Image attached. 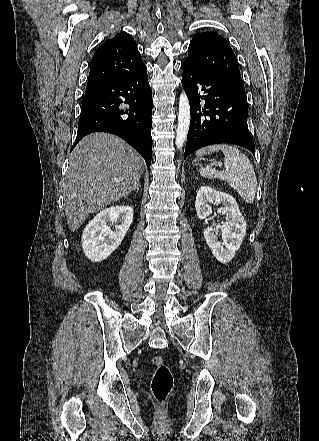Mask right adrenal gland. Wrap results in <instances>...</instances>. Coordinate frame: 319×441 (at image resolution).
<instances>
[{
    "instance_id": "right-adrenal-gland-1",
    "label": "right adrenal gland",
    "mask_w": 319,
    "mask_h": 441,
    "mask_svg": "<svg viewBox=\"0 0 319 441\" xmlns=\"http://www.w3.org/2000/svg\"><path fill=\"white\" fill-rule=\"evenodd\" d=\"M139 187H140V182L138 181V182L136 183V185H135V187H134L133 190H136V192L138 193V192H139Z\"/></svg>"
}]
</instances>
